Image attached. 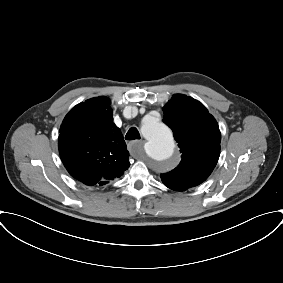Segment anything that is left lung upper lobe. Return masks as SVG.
Listing matches in <instances>:
<instances>
[{"label": "left lung upper lobe", "mask_w": 283, "mask_h": 283, "mask_svg": "<svg viewBox=\"0 0 283 283\" xmlns=\"http://www.w3.org/2000/svg\"><path fill=\"white\" fill-rule=\"evenodd\" d=\"M164 119L178 142L182 160L160 177L170 189L183 191L207 179L220 155V130L199 101L176 94L163 108Z\"/></svg>", "instance_id": "left-lung-upper-lobe-1"}]
</instances>
